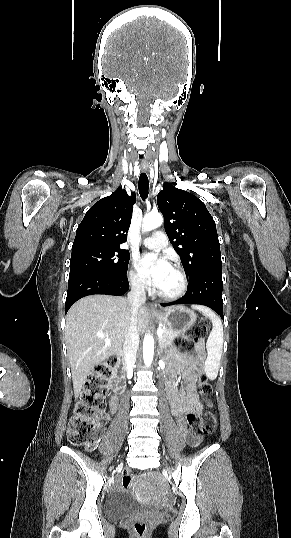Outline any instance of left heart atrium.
Segmentation results:
<instances>
[{"instance_id":"left-heart-atrium-1","label":"left heart atrium","mask_w":291,"mask_h":538,"mask_svg":"<svg viewBox=\"0 0 291 538\" xmlns=\"http://www.w3.org/2000/svg\"><path fill=\"white\" fill-rule=\"evenodd\" d=\"M137 267L141 276L156 287L160 285L164 275L171 269L165 257L151 253L140 256Z\"/></svg>"}]
</instances>
